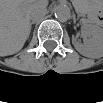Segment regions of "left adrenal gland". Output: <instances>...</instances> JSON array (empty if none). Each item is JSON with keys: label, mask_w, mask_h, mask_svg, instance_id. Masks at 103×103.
<instances>
[{"label": "left adrenal gland", "mask_w": 103, "mask_h": 103, "mask_svg": "<svg viewBox=\"0 0 103 103\" xmlns=\"http://www.w3.org/2000/svg\"><path fill=\"white\" fill-rule=\"evenodd\" d=\"M74 23H76V19L74 18Z\"/></svg>", "instance_id": "1"}]
</instances>
